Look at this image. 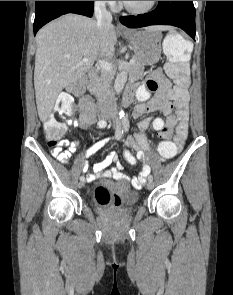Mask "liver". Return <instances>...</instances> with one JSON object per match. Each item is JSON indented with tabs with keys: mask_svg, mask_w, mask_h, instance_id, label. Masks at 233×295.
<instances>
[{
	"mask_svg": "<svg viewBox=\"0 0 233 295\" xmlns=\"http://www.w3.org/2000/svg\"><path fill=\"white\" fill-rule=\"evenodd\" d=\"M167 30V26H157ZM102 33L97 22L78 14H65L41 28L36 35L34 88L39 118L50 116L60 92L82 78L98 58L107 57L101 47ZM108 41L115 45L111 25ZM88 61L83 62L82 59Z\"/></svg>",
	"mask_w": 233,
	"mask_h": 295,
	"instance_id": "obj_1",
	"label": "liver"
}]
</instances>
